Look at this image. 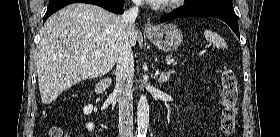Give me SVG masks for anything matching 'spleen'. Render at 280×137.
I'll return each mask as SVG.
<instances>
[{
	"label": "spleen",
	"mask_w": 280,
	"mask_h": 137,
	"mask_svg": "<svg viewBox=\"0 0 280 137\" xmlns=\"http://www.w3.org/2000/svg\"><path fill=\"white\" fill-rule=\"evenodd\" d=\"M204 36L206 38V40L210 43L213 44L214 47H216L217 49H226L227 48V44L225 42V40L219 36L217 33L206 29L204 31Z\"/></svg>",
	"instance_id": "3e777b00"
}]
</instances>
